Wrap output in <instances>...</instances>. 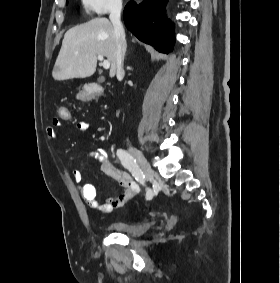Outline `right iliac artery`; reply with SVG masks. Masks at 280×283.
I'll return each instance as SVG.
<instances>
[{
  "label": "right iliac artery",
  "mask_w": 280,
  "mask_h": 283,
  "mask_svg": "<svg viewBox=\"0 0 280 283\" xmlns=\"http://www.w3.org/2000/svg\"><path fill=\"white\" fill-rule=\"evenodd\" d=\"M117 156L120 159L122 165L131 172L132 176H134V178L142 185H145V176L143 175V172L141 171L136 163V160L131 156V154L124 149H118ZM151 196V192L147 190L146 199L150 200Z\"/></svg>",
  "instance_id": "82829eb1"
}]
</instances>
